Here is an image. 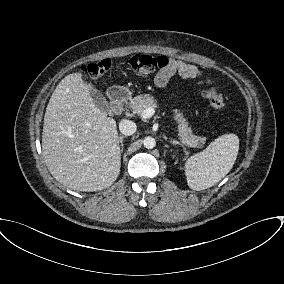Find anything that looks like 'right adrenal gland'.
<instances>
[{
    "label": "right adrenal gland",
    "mask_w": 284,
    "mask_h": 284,
    "mask_svg": "<svg viewBox=\"0 0 284 284\" xmlns=\"http://www.w3.org/2000/svg\"><path fill=\"white\" fill-rule=\"evenodd\" d=\"M126 136L124 135H121L119 137V144H120V148H121V153H123V149H124V144H123V139L125 138Z\"/></svg>",
    "instance_id": "obj_1"
}]
</instances>
